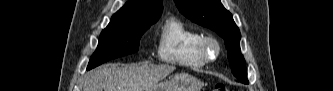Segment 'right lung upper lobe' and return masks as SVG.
<instances>
[{
  "label": "right lung upper lobe",
  "mask_w": 333,
  "mask_h": 91,
  "mask_svg": "<svg viewBox=\"0 0 333 91\" xmlns=\"http://www.w3.org/2000/svg\"><path fill=\"white\" fill-rule=\"evenodd\" d=\"M162 9V0H129L112 16L110 23L159 18Z\"/></svg>",
  "instance_id": "obj_1"
}]
</instances>
